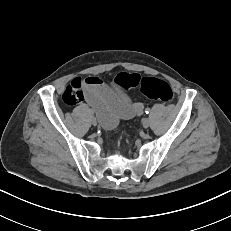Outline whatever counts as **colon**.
Here are the masks:
<instances>
[{"label":"colon","mask_w":231,"mask_h":231,"mask_svg":"<svg viewBox=\"0 0 231 231\" xmlns=\"http://www.w3.org/2000/svg\"><path fill=\"white\" fill-rule=\"evenodd\" d=\"M113 85L124 92L138 88L145 97L163 103L170 102L173 97L167 82L153 77H142L136 73H119L114 78Z\"/></svg>","instance_id":"5ec220e1"}]
</instances>
